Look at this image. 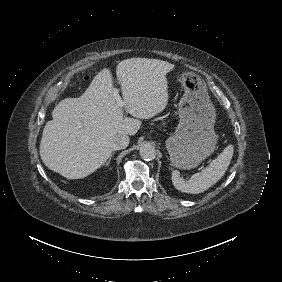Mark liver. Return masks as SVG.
<instances>
[{
    "mask_svg": "<svg viewBox=\"0 0 282 282\" xmlns=\"http://www.w3.org/2000/svg\"><path fill=\"white\" fill-rule=\"evenodd\" d=\"M174 65L159 59L131 58L116 68L124 105L118 106L110 70L104 68L79 98H65L43 129L40 156L45 166L67 179H81L100 168L112 153L117 134L135 135L138 119H150L168 103L166 74ZM123 108L135 118H123Z\"/></svg>",
    "mask_w": 282,
    "mask_h": 282,
    "instance_id": "obj_1",
    "label": "liver"
}]
</instances>
